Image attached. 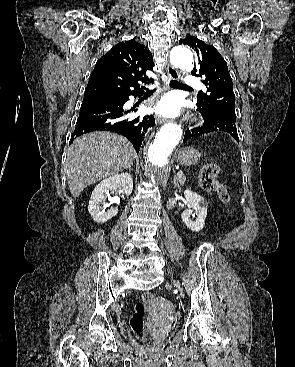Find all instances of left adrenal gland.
Returning <instances> with one entry per match:
<instances>
[{"label": "left adrenal gland", "mask_w": 295, "mask_h": 367, "mask_svg": "<svg viewBox=\"0 0 295 367\" xmlns=\"http://www.w3.org/2000/svg\"><path fill=\"white\" fill-rule=\"evenodd\" d=\"M173 172H174V170H173ZM173 184H174L175 186H179V183H178V181H177V176H176V175L174 176Z\"/></svg>", "instance_id": "1"}]
</instances>
